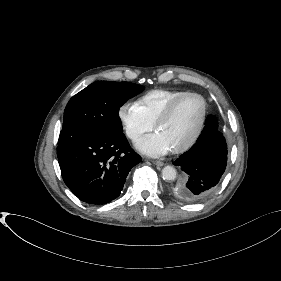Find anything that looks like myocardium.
Returning a JSON list of instances; mask_svg holds the SVG:
<instances>
[{"mask_svg":"<svg viewBox=\"0 0 281 281\" xmlns=\"http://www.w3.org/2000/svg\"><path fill=\"white\" fill-rule=\"evenodd\" d=\"M188 97H197L201 101L202 114H201L200 122H199L194 134L192 135V137L186 143H184L183 145L172 149L171 152L174 153V154L183 153V152L187 151L188 149H190L196 143L199 136L201 135L202 130H203L204 125H205L206 116H207V102H206L205 98L201 94L196 93V92H186V93L182 94L181 96L172 100L160 112V114L157 116L155 122L153 123L154 129L156 130L161 123H163L165 120H167L170 117V115L172 114V112L174 111L176 106L182 100H184Z\"/></svg>","mask_w":281,"mask_h":281,"instance_id":"1","label":"myocardium"}]
</instances>
